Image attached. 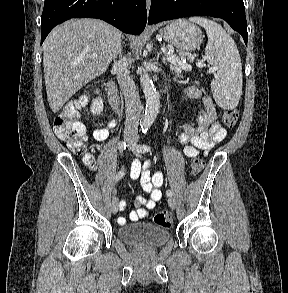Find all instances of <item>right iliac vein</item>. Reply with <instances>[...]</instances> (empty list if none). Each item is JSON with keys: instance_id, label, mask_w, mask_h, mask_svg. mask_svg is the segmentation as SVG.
<instances>
[{"instance_id": "obj_1", "label": "right iliac vein", "mask_w": 288, "mask_h": 293, "mask_svg": "<svg viewBox=\"0 0 288 293\" xmlns=\"http://www.w3.org/2000/svg\"><path fill=\"white\" fill-rule=\"evenodd\" d=\"M126 142H127V146L129 147V149H132L133 147V141L129 138H126ZM119 209V203H118V199L117 198H113L112 203H111V210L114 214H116L118 212Z\"/></svg>"}]
</instances>
